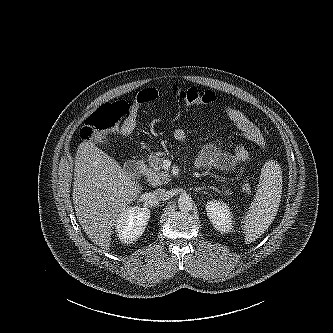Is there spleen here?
Masks as SVG:
<instances>
[{"label":"spleen","mask_w":333,"mask_h":333,"mask_svg":"<svg viewBox=\"0 0 333 333\" xmlns=\"http://www.w3.org/2000/svg\"><path fill=\"white\" fill-rule=\"evenodd\" d=\"M282 194V171L274 160H268L261 169L256 195L242 220L245 243L261 236L273 222Z\"/></svg>","instance_id":"obj_1"}]
</instances>
